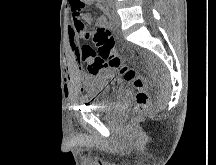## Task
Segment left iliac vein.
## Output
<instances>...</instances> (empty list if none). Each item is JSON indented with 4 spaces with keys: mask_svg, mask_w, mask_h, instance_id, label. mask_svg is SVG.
<instances>
[{
    "mask_svg": "<svg viewBox=\"0 0 216 165\" xmlns=\"http://www.w3.org/2000/svg\"><path fill=\"white\" fill-rule=\"evenodd\" d=\"M113 21L118 26L121 24L120 17L117 14L116 9H115V3H113Z\"/></svg>",
    "mask_w": 216,
    "mask_h": 165,
    "instance_id": "1",
    "label": "left iliac vein"
}]
</instances>
